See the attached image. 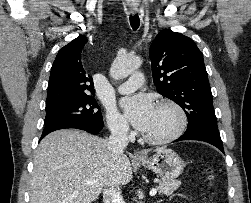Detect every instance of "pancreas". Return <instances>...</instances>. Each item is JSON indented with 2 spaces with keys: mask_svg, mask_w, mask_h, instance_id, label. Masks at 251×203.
I'll return each instance as SVG.
<instances>
[{
  "mask_svg": "<svg viewBox=\"0 0 251 203\" xmlns=\"http://www.w3.org/2000/svg\"><path fill=\"white\" fill-rule=\"evenodd\" d=\"M181 182L175 179H162L157 190L160 194L171 195L180 186Z\"/></svg>",
  "mask_w": 251,
  "mask_h": 203,
  "instance_id": "1",
  "label": "pancreas"
}]
</instances>
